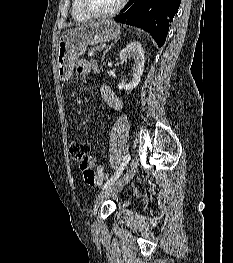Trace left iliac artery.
Wrapping results in <instances>:
<instances>
[{
    "label": "left iliac artery",
    "instance_id": "1",
    "mask_svg": "<svg viewBox=\"0 0 233 263\" xmlns=\"http://www.w3.org/2000/svg\"><path fill=\"white\" fill-rule=\"evenodd\" d=\"M130 160V155L127 154L124 159L123 162L121 164V166L118 168V170L114 173V175H112V177L104 184L103 186V190L107 189L109 186H111L118 178L119 176L122 174L124 168L126 167V165L128 164Z\"/></svg>",
    "mask_w": 233,
    "mask_h": 263
}]
</instances>
